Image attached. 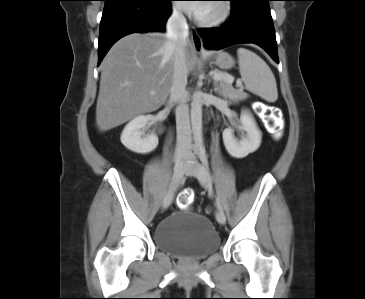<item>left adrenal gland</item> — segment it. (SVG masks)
Masks as SVG:
<instances>
[{
	"label": "left adrenal gland",
	"mask_w": 365,
	"mask_h": 299,
	"mask_svg": "<svg viewBox=\"0 0 365 299\" xmlns=\"http://www.w3.org/2000/svg\"><path fill=\"white\" fill-rule=\"evenodd\" d=\"M214 92L219 94V95L221 94L217 83H214Z\"/></svg>",
	"instance_id": "left-adrenal-gland-1"
}]
</instances>
